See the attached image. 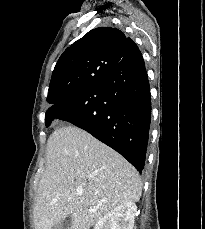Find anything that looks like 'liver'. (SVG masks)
<instances>
[{"label": "liver", "instance_id": "1", "mask_svg": "<svg viewBox=\"0 0 205 229\" xmlns=\"http://www.w3.org/2000/svg\"><path fill=\"white\" fill-rule=\"evenodd\" d=\"M46 161L35 199V229H52L68 216L70 229H90L116 206L141 197L136 169L75 126H62L51 134Z\"/></svg>", "mask_w": 205, "mask_h": 229}]
</instances>
